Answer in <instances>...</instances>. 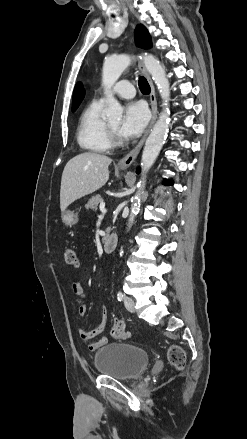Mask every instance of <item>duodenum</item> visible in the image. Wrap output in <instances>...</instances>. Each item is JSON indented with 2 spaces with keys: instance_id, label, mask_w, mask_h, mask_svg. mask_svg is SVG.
<instances>
[{
  "instance_id": "obj_1",
  "label": "duodenum",
  "mask_w": 247,
  "mask_h": 439,
  "mask_svg": "<svg viewBox=\"0 0 247 439\" xmlns=\"http://www.w3.org/2000/svg\"><path fill=\"white\" fill-rule=\"evenodd\" d=\"M118 244V237L115 234H111L104 239L103 247L106 253H112Z\"/></svg>"
}]
</instances>
